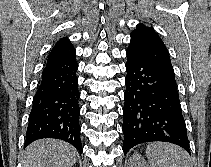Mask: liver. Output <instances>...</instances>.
<instances>
[{
  "label": "liver",
  "instance_id": "1",
  "mask_svg": "<svg viewBox=\"0 0 211 167\" xmlns=\"http://www.w3.org/2000/svg\"><path fill=\"white\" fill-rule=\"evenodd\" d=\"M77 155V150L66 142L42 139L26 148L22 164L23 167H71Z\"/></svg>",
  "mask_w": 211,
  "mask_h": 167
}]
</instances>
